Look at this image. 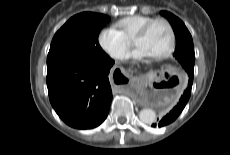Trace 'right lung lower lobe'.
<instances>
[{
    "label": "right lung lower lobe",
    "instance_id": "right-lung-lower-lobe-1",
    "mask_svg": "<svg viewBox=\"0 0 230 155\" xmlns=\"http://www.w3.org/2000/svg\"><path fill=\"white\" fill-rule=\"evenodd\" d=\"M114 61L63 62L47 66L52 107L69 126L91 129L107 117L112 92L108 74Z\"/></svg>",
    "mask_w": 230,
    "mask_h": 155
}]
</instances>
